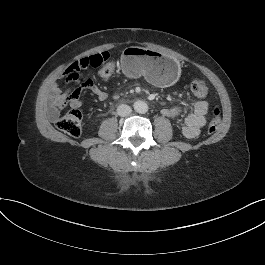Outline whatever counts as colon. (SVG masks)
I'll use <instances>...</instances> for the list:
<instances>
[{"label": "colon", "mask_w": 265, "mask_h": 265, "mask_svg": "<svg viewBox=\"0 0 265 265\" xmlns=\"http://www.w3.org/2000/svg\"><path fill=\"white\" fill-rule=\"evenodd\" d=\"M90 66H101L99 74L104 80L109 79L116 69L114 61L109 59V55L106 52L97 53L88 57H84L65 71L66 82H74L78 79L79 72ZM192 93L198 97L203 98L209 92L208 84L202 79H195L191 83ZM57 127L67 133L70 136L78 137L82 132V114L79 109H71L67 114L60 117L56 123ZM220 127V110L215 108L213 110V117L208 126V132L210 134L215 133Z\"/></svg>", "instance_id": "obj_1"}]
</instances>
